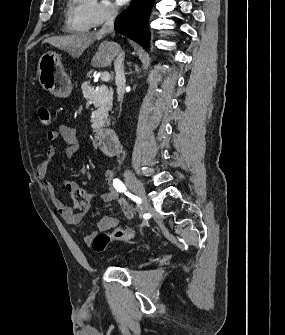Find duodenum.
I'll return each mask as SVG.
<instances>
[{"instance_id": "duodenum-1", "label": "duodenum", "mask_w": 285, "mask_h": 335, "mask_svg": "<svg viewBox=\"0 0 285 335\" xmlns=\"http://www.w3.org/2000/svg\"><path fill=\"white\" fill-rule=\"evenodd\" d=\"M95 139L99 148L105 155L113 156L117 153L119 140L114 128L104 127L98 129Z\"/></svg>"}]
</instances>
